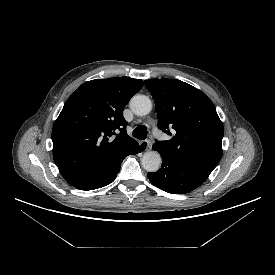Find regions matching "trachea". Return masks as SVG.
Segmentation results:
<instances>
[{
	"label": "trachea",
	"instance_id": "obj_1",
	"mask_svg": "<svg viewBox=\"0 0 275 275\" xmlns=\"http://www.w3.org/2000/svg\"><path fill=\"white\" fill-rule=\"evenodd\" d=\"M148 131L147 127L144 125H140L136 127L133 131V136L140 140H145L147 137Z\"/></svg>",
	"mask_w": 275,
	"mask_h": 275
}]
</instances>
